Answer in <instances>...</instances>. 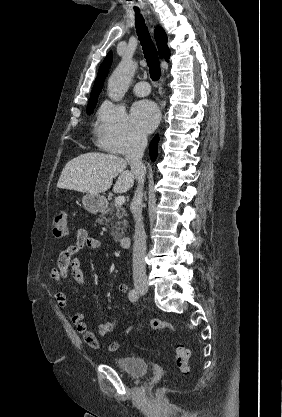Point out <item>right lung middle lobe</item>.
<instances>
[{"mask_svg":"<svg viewBox=\"0 0 282 417\" xmlns=\"http://www.w3.org/2000/svg\"><path fill=\"white\" fill-rule=\"evenodd\" d=\"M98 96L99 95L90 96L89 104H88V107H87V114L93 113L94 108H95L96 103H97Z\"/></svg>","mask_w":282,"mask_h":417,"instance_id":"obj_1","label":"right lung middle lobe"}]
</instances>
